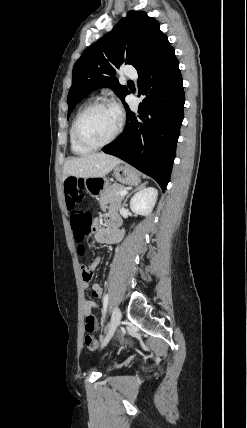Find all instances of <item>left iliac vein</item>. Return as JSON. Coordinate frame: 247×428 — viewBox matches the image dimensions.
Wrapping results in <instances>:
<instances>
[{"label":"left iliac vein","mask_w":247,"mask_h":428,"mask_svg":"<svg viewBox=\"0 0 247 428\" xmlns=\"http://www.w3.org/2000/svg\"><path fill=\"white\" fill-rule=\"evenodd\" d=\"M121 318H122L121 310L118 307H115L113 314H112L108 333H107L105 339L102 341V344H101L102 347H104L109 342L111 337L113 336L115 330L117 329V327L119 326V324L121 322Z\"/></svg>","instance_id":"4c4485c4"}]
</instances>
